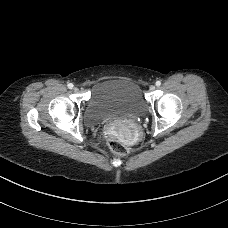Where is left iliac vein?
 <instances>
[{"instance_id":"obj_1","label":"left iliac vein","mask_w":228,"mask_h":228,"mask_svg":"<svg viewBox=\"0 0 228 228\" xmlns=\"http://www.w3.org/2000/svg\"><path fill=\"white\" fill-rule=\"evenodd\" d=\"M149 89H150V91H154V90L156 89V87H155V85H151V86L149 87Z\"/></svg>"}]
</instances>
